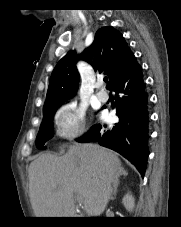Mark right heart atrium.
<instances>
[{
    "mask_svg": "<svg viewBox=\"0 0 181 227\" xmlns=\"http://www.w3.org/2000/svg\"><path fill=\"white\" fill-rule=\"evenodd\" d=\"M55 124L59 137L67 140L75 139L86 130L85 109L75 101H68L57 110Z\"/></svg>",
    "mask_w": 181,
    "mask_h": 227,
    "instance_id": "1",
    "label": "right heart atrium"
}]
</instances>
